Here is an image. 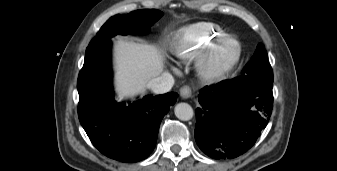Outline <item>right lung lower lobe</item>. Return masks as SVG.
<instances>
[{
  "label": "right lung lower lobe",
  "instance_id": "obj_1",
  "mask_svg": "<svg viewBox=\"0 0 337 171\" xmlns=\"http://www.w3.org/2000/svg\"><path fill=\"white\" fill-rule=\"evenodd\" d=\"M110 60L111 40H99L86 51L77 82L79 120L102 154L138 162L153 151L161 120L178 94L145 96L129 106L116 103Z\"/></svg>",
  "mask_w": 337,
  "mask_h": 171
}]
</instances>
